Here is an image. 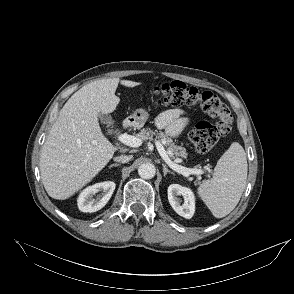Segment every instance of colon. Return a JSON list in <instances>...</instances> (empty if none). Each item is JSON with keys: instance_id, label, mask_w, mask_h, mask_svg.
Here are the masks:
<instances>
[{"instance_id": "obj_1", "label": "colon", "mask_w": 294, "mask_h": 294, "mask_svg": "<svg viewBox=\"0 0 294 294\" xmlns=\"http://www.w3.org/2000/svg\"><path fill=\"white\" fill-rule=\"evenodd\" d=\"M159 105L197 106L213 121L198 122L190 133V141L198 153L209 151L232 127V115L227 105L214 93L200 91L180 81L163 83L153 88Z\"/></svg>"}]
</instances>
